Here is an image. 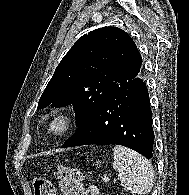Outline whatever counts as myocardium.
Wrapping results in <instances>:
<instances>
[{
  "mask_svg": "<svg viewBox=\"0 0 189 195\" xmlns=\"http://www.w3.org/2000/svg\"><path fill=\"white\" fill-rule=\"evenodd\" d=\"M76 122L75 114L70 110H57L49 118L47 130L54 137H62L69 133Z\"/></svg>",
  "mask_w": 189,
  "mask_h": 195,
  "instance_id": "myocardium-1",
  "label": "myocardium"
}]
</instances>
